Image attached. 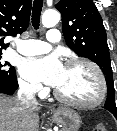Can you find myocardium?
Returning a JSON list of instances; mask_svg holds the SVG:
<instances>
[{"label":"myocardium","mask_w":117,"mask_h":131,"mask_svg":"<svg viewBox=\"0 0 117 131\" xmlns=\"http://www.w3.org/2000/svg\"><path fill=\"white\" fill-rule=\"evenodd\" d=\"M74 65L87 66L94 72L99 83V94L97 98L91 102H80V101H76V100L65 97L57 90V88L54 90V96L59 101L65 104L77 107V108L93 109V108L98 107L104 102L106 98V94H107V84H106V80L101 69L94 62L86 60V59H81V58L70 59L65 63V66H74Z\"/></svg>","instance_id":"obj_1"}]
</instances>
